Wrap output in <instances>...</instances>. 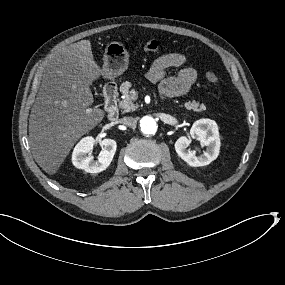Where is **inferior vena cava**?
Wrapping results in <instances>:
<instances>
[{"label":"inferior vena cava","instance_id":"obj_1","mask_svg":"<svg viewBox=\"0 0 285 285\" xmlns=\"http://www.w3.org/2000/svg\"><path fill=\"white\" fill-rule=\"evenodd\" d=\"M121 123L130 127V128H134L136 126L137 120L134 117H124L121 120Z\"/></svg>","mask_w":285,"mask_h":285}]
</instances>
